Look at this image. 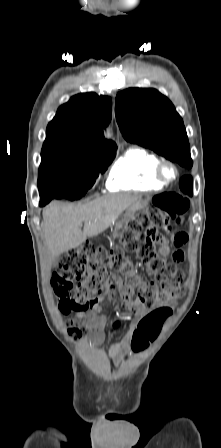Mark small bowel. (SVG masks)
Wrapping results in <instances>:
<instances>
[{
    "mask_svg": "<svg viewBox=\"0 0 221 448\" xmlns=\"http://www.w3.org/2000/svg\"><path fill=\"white\" fill-rule=\"evenodd\" d=\"M187 241V232L183 230L177 231L176 233L168 237L160 238L159 252L164 256H171L174 262L181 263L184 259L183 247L185 246ZM171 245L175 247L173 251L171 250ZM115 293H118V295L120 296L122 300V306L124 308H134L136 318L135 321H132L130 323L129 329L126 334L119 341L112 344L109 349V357L111 358V360L116 365H120L130 351L138 353L147 347L150 340H146V342L142 346L134 347L132 345V337L134 332L137 330V322L149 316L152 312L151 310L145 309L138 304L131 303L128 298V291L121 280H117L114 283L110 282L107 286L106 291L99 296L97 303L87 311L78 312L75 316V319L71 321V324H76L77 322L81 321L84 322L86 328L92 334V343L94 345L102 343V341L104 340V329L111 320V314L102 313L103 306L113 297ZM119 325L120 322L117 321L115 323V326Z\"/></svg>",
    "mask_w": 221,
    "mask_h": 448,
    "instance_id": "obj_1",
    "label": "small bowel"
}]
</instances>
